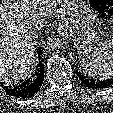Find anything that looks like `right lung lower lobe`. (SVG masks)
<instances>
[{
  "label": "right lung lower lobe",
  "instance_id": "98d812e1",
  "mask_svg": "<svg viewBox=\"0 0 113 113\" xmlns=\"http://www.w3.org/2000/svg\"><path fill=\"white\" fill-rule=\"evenodd\" d=\"M38 58L39 60L41 59V49L38 48ZM41 62V61H39ZM38 72L36 75V78L33 80H26V82L19 87H14V88H9L7 86H4L3 88L6 90L8 94H11L16 97H21V98H29L34 96L39 90L41 85L43 84L44 81V68L41 63H39L38 66ZM2 86V84H0Z\"/></svg>",
  "mask_w": 113,
  "mask_h": 113
}]
</instances>
